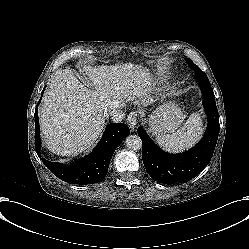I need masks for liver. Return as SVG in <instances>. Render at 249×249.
Returning <instances> with one entry per match:
<instances>
[{
  "mask_svg": "<svg viewBox=\"0 0 249 249\" xmlns=\"http://www.w3.org/2000/svg\"><path fill=\"white\" fill-rule=\"evenodd\" d=\"M96 90L80 83L72 71L59 72L47 87L39 107L40 129L48 149L74 157L93 146L102 135L111 103L136 100L147 106L149 77L132 65L83 68ZM148 89V90H147ZM141 101V102H140Z\"/></svg>",
  "mask_w": 249,
  "mask_h": 249,
  "instance_id": "liver-1",
  "label": "liver"
}]
</instances>
